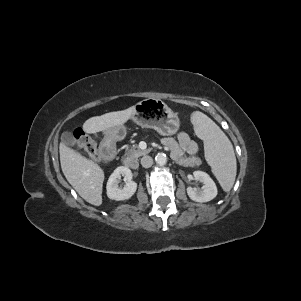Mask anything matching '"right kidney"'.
Returning <instances> with one entry per match:
<instances>
[{
    "label": "right kidney",
    "instance_id": "ca27d5eb",
    "mask_svg": "<svg viewBox=\"0 0 301 301\" xmlns=\"http://www.w3.org/2000/svg\"><path fill=\"white\" fill-rule=\"evenodd\" d=\"M121 175L124 176L126 182L123 188L119 187ZM107 196L109 199L122 201L131 198L137 189V183L132 181V172L128 167H117L110 175L107 182Z\"/></svg>",
    "mask_w": 301,
    "mask_h": 301
}]
</instances>
